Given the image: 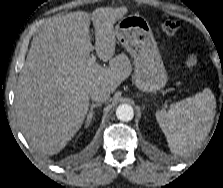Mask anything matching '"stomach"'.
Instances as JSON below:
<instances>
[{
	"label": "stomach",
	"mask_w": 223,
	"mask_h": 188,
	"mask_svg": "<svg viewBox=\"0 0 223 188\" xmlns=\"http://www.w3.org/2000/svg\"><path fill=\"white\" fill-rule=\"evenodd\" d=\"M115 35L134 58V82L142 92L157 91L167 82L157 44L148 21L140 15H128L118 20ZM129 66L128 61H125Z\"/></svg>",
	"instance_id": "0dacf381"
}]
</instances>
